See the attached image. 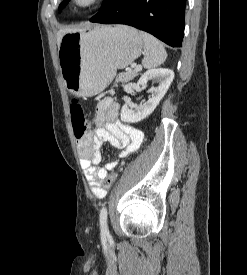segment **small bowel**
Listing matches in <instances>:
<instances>
[{"mask_svg": "<svg viewBox=\"0 0 247 275\" xmlns=\"http://www.w3.org/2000/svg\"><path fill=\"white\" fill-rule=\"evenodd\" d=\"M119 110L120 106L114 100L110 98L101 100L96 107V129L77 141L82 168L90 189L97 198L106 196L103 180L118 164V160L113 159L105 166H99L102 159V144L109 143L112 147L121 149L120 157L125 158L136 152L144 139L141 130L119 119Z\"/></svg>", "mask_w": 247, "mask_h": 275, "instance_id": "c3829d8e", "label": "small bowel"}]
</instances>
